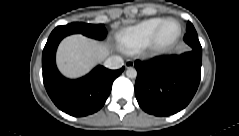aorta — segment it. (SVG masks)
Listing matches in <instances>:
<instances>
[{"instance_id":"1","label":"aorta","mask_w":239,"mask_h":136,"mask_svg":"<svg viewBox=\"0 0 239 136\" xmlns=\"http://www.w3.org/2000/svg\"><path fill=\"white\" fill-rule=\"evenodd\" d=\"M126 76H127L128 78H131V79L136 78V77H137V71H136V69L133 68V67L127 68V70H126Z\"/></svg>"}]
</instances>
